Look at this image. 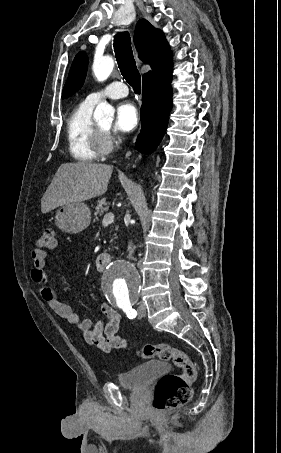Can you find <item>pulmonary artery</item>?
Wrapping results in <instances>:
<instances>
[{"label":"pulmonary artery","instance_id":"1","mask_svg":"<svg viewBox=\"0 0 281 453\" xmlns=\"http://www.w3.org/2000/svg\"><path fill=\"white\" fill-rule=\"evenodd\" d=\"M128 94L127 87L124 83L114 81L108 84L103 90L91 93L87 96V100L97 103L104 98H121Z\"/></svg>","mask_w":281,"mask_h":453}]
</instances>
